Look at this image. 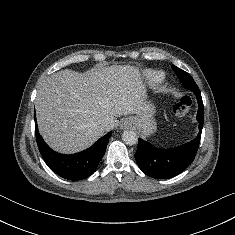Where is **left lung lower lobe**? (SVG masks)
<instances>
[{
	"mask_svg": "<svg viewBox=\"0 0 235 235\" xmlns=\"http://www.w3.org/2000/svg\"><path fill=\"white\" fill-rule=\"evenodd\" d=\"M182 84L197 97L199 133L194 140L172 149L156 148L141 138L138 139V148L134 155L138 166L146 175L156 179L172 178L183 172L194 160L199 147L204 117L201 93L185 80H182Z\"/></svg>",
	"mask_w": 235,
	"mask_h": 235,
	"instance_id": "obj_1",
	"label": "left lung lower lobe"
}]
</instances>
